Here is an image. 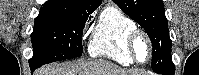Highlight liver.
<instances>
[{"mask_svg": "<svg viewBox=\"0 0 199 75\" xmlns=\"http://www.w3.org/2000/svg\"><path fill=\"white\" fill-rule=\"evenodd\" d=\"M34 75H138L135 70H126L103 60H79L65 65L43 66Z\"/></svg>", "mask_w": 199, "mask_h": 75, "instance_id": "liver-1", "label": "liver"}]
</instances>
